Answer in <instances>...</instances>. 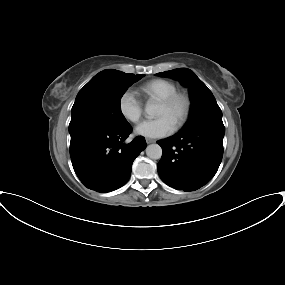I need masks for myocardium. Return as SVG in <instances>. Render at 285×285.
Returning a JSON list of instances; mask_svg holds the SVG:
<instances>
[{"instance_id":"1","label":"myocardium","mask_w":285,"mask_h":285,"mask_svg":"<svg viewBox=\"0 0 285 285\" xmlns=\"http://www.w3.org/2000/svg\"><path fill=\"white\" fill-rule=\"evenodd\" d=\"M181 101L183 103V112L177 122L174 125L175 130L180 129L183 127L186 122L188 121L191 111H192V98L190 94L185 90H176L175 92L171 93L169 96L163 98L159 101V104L165 107H171L175 103Z\"/></svg>"}]
</instances>
